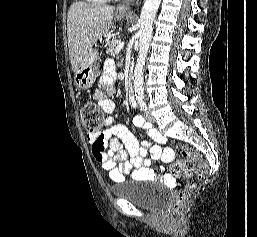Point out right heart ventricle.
Returning <instances> with one entry per match:
<instances>
[{
    "mask_svg": "<svg viewBox=\"0 0 257 237\" xmlns=\"http://www.w3.org/2000/svg\"><path fill=\"white\" fill-rule=\"evenodd\" d=\"M86 1L91 4H100V3H104L106 0H86Z\"/></svg>",
    "mask_w": 257,
    "mask_h": 237,
    "instance_id": "e07e8e85",
    "label": "right heart ventricle"
}]
</instances>
